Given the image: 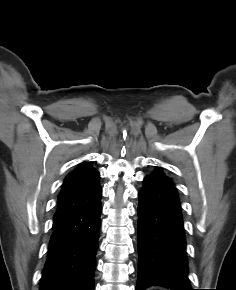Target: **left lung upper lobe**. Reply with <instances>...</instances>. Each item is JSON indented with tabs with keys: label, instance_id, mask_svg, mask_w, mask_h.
Returning <instances> with one entry per match:
<instances>
[{
	"label": "left lung upper lobe",
	"instance_id": "obj_1",
	"mask_svg": "<svg viewBox=\"0 0 236 290\" xmlns=\"http://www.w3.org/2000/svg\"><path fill=\"white\" fill-rule=\"evenodd\" d=\"M154 174H155V175H159V176L166 177V176L164 175V173L162 172V168H161V167H157V169L155 170Z\"/></svg>",
	"mask_w": 236,
	"mask_h": 290
}]
</instances>
